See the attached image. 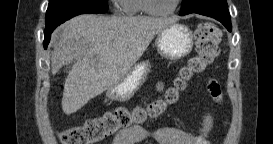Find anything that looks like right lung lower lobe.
Segmentation results:
<instances>
[{
	"label": "right lung lower lobe",
	"mask_w": 273,
	"mask_h": 144,
	"mask_svg": "<svg viewBox=\"0 0 273 144\" xmlns=\"http://www.w3.org/2000/svg\"><path fill=\"white\" fill-rule=\"evenodd\" d=\"M98 14L99 12L93 9H79V10H72L69 12H65L63 14H61L60 16L56 17L54 19V21L52 22V24L49 27L45 28L44 31V48L46 49L48 46V43L50 41V37H51V33L53 32V30L60 24H62L63 22H65L66 20H69L70 18L77 16L79 14Z\"/></svg>",
	"instance_id": "1"
}]
</instances>
